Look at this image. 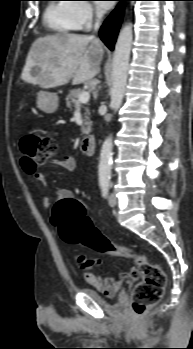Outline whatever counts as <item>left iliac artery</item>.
Returning a JSON list of instances; mask_svg holds the SVG:
<instances>
[{
    "mask_svg": "<svg viewBox=\"0 0 193 349\" xmlns=\"http://www.w3.org/2000/svg\"><path fill=\"white\" fill-rule=\"evenodd\" d=\"M111 187V183L110 182H104L101 184V188H102V195L104 197H107L109 188Z\"/></svg>",
    "mask_w": 193,
    "mask_h": 349,
    "instance_id": "1",
    "label": "left iliac artery"
}]
</instances>
